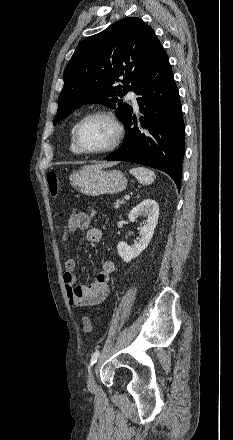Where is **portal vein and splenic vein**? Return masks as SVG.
<instances>
[{"label": "portal vein and splenic vein", "mask_w": 233, "mask_h": 440, "mask_svg": "<svg viewBox=\"0 0 233 440\" xmlns=\"http://www.w3.org/2000/svg\"><path fill=\"white\" fill-rule=\"evenodd\" d=\"M129 198H130L129 195H126V196H125V200H129Z\"/></svg>", "instance_id": "1"}]
</instances>
